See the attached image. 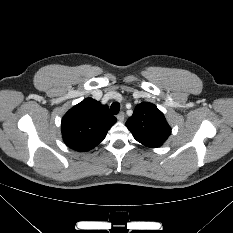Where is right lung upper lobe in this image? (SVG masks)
Here are the masks:
<instances>
[{"label": "right lung upper lobe", "instance_id": "obj_1", "mask_svg": "<svg viewBox=\"0 0 233 233\" xmlns=\"http://www.w3.org/2000/svg\"><path fill=\"white\" fill-rule=\"evenodd\" d=\"M116 121L108 106L86 98L64 115L61 124L63 140L75 151H89L104 140Z\"/></svg>", "mask_w": 233, "mask_h": 233}]
</instances>
